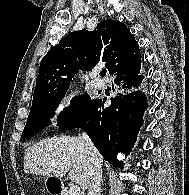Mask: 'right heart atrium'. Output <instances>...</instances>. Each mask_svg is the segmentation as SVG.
<instances>
[{"label": "right heart atrium", "instance_id": "d8ad5b80", "mask_svg": "<svg viewBox=\"0 0 189 195\" xmlns=\"http://www.w3.org/2000/svg\"><path fill=\"white\" fill-rule=\"evenodd\" d=\"M75 94L72 91L66 92L59 102V112L61 116H69L74 108Z\"/></svg>", "mask_w": 189, "mask_h": 195}]
</instances>
